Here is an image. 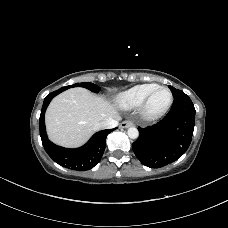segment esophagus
I'll use <instances>...</instances> for the list:
<instances>
[{"label": "esophagus", "instance_id": "obj_1", "mask_svg": "<svg viewBox=\"0 0 228 228\" xmlns=\"http://www.w3.org/2000/svg\"><path fill=\"white\" fill-rule=\"evenodd\" d=\"M134 123L130 120H127V121H123L121 124H120V127L121 128H128V127H131L133 126Z\"/></svg>", "mask_w": 228, "mask_h": 228}]
</instances>
